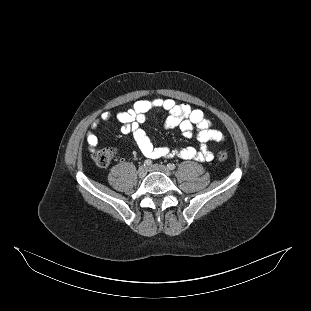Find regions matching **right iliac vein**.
Listing matches in <instances>:
<instances>
[{"instance_id": "63e3f726", "label": "right iliac vein", "mask_w": 311, "mask_h": 311, "mask_svg": "<svg viewBox=\"0 0 311 311\" xmlns=\"http://www.w3.org/2000/svg\"><path fill=\"white\" fill-rule=\"evenodd\" d=\"M137 174L140 178L145 177V175L147 174V168L145 166H140L138 168Z\"/></svg>"}]
</instances>
